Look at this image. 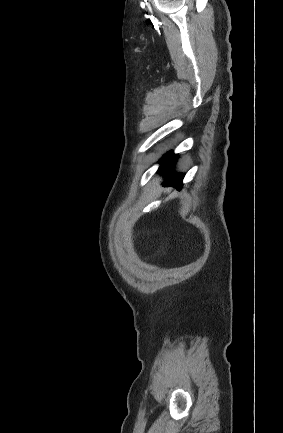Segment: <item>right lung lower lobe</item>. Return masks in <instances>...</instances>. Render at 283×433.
I'll list each match as a JSON object with an SVG mask.
<instances>
[{
    "label": "right lung lower lobe",
    "mask_w": 283,
    "mask_h": 433,
    "mask_svg": "<svg viewBox=\"0 0 283 433\" xmlns=\"http://www.w3.org/2000/svg\"><path fill=\"white\" fill-rule=\"evenodd\" d=\"M177 156L174 155L172 152L167 153L163 156V158L160 160L161 167L159 169V172L165 171L166 172V180L164 182V186H173L177 187L178 189H181L182 187V179L183 175L172 173L170 168L173 166V163L176 161Z\"/></svg>",
    "instance_id": "obj_1"
}]
</instances>
